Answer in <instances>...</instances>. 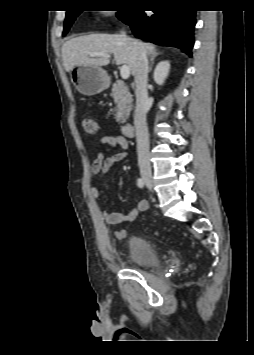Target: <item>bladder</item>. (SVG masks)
I'll use <instances>...</instances> for the list:
<instances>
[{"label":"bladder","instance_id":"31cf9c89","mask_svg":"<svg viewBox=\"0 0 254 355\" xmlns=\"http://www.w3.org/2000/svg\"><path fill=\"white\" fill-rule=\"evenodd\" d=\"M129 259L140 267L155 268L161 262L156 245L141 236H132L129 240Z\"/></svg>","mask_w":254,"mask_h":355}]
</instances>
